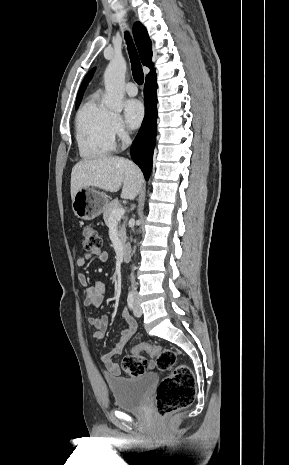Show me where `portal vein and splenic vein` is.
<instances>
[{"instance_id":"portal-vein-and-splenic-vein-1","label":"portal vein and splenic vein","mask_w":289,"mask_h":465,"mask_svg":"<svg viewBox=\"0 0 289 465\" xmlns=\"http://www.w3.org/2000/svg\"><path fill=\"white\" fill-rule=\"evenodd\" d=\"M124 213H125V210L123 208H119V209L113 211L112 214H111V217H110L111 222L120 221L121 218L123 217Z\"/></svg>"}]
</instances>
